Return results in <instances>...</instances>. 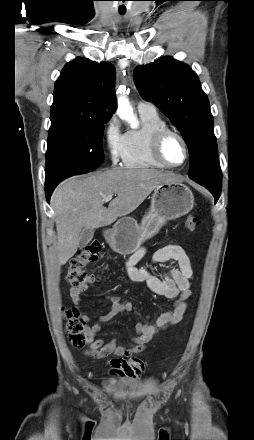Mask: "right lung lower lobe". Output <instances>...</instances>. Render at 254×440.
<instances>
[{"label":"right lung lower lobe","mask_w":254,"mask_h":440,"mask_svg":"<svg viewBox=\"0 0 254 440\" xmlns=\"http://www.w3.org/2000/svg\"><path fill=\"white\" fill-rule=\"evenodd\" d=\"M56 185L57 184L45 186L46 198H47L48 203L50 201L51 193H52V191H53V189L55 188Z\"/></svg>","instance_id":"98d812e1"}]
</instances>
